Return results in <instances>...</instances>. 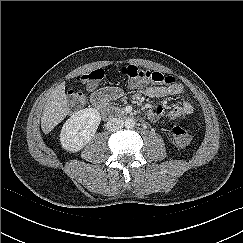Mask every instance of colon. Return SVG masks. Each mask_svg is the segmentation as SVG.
Here are the masks:
<instances>
[{"instance_id": "colon-1", "label": "colon", "mask_w": 243, "mask_h": 243, "mask_svg": "<svg viewBox=\"0 0 243 243\" xmlns=\"http://www.w3.org/2000/svg\"><path fill=\"white\" fill-rule=\"evenodd\" d=\"M124 72L129 76L132 82L136 84H173L175 82L174 77L169 75H164L158 72H152L148 70L140 69L136 66H128ZM104 76V72L101 69L91 71L81 77L82 82L90 84H96ZM69 96L72 103L77 105H83L85 102V97L81 91H69ZM172 131V137L175 143L180 146H185L190 141V136L188 131L181 126L172 124L170 126Z\"/></svg>"}]
</instances>
